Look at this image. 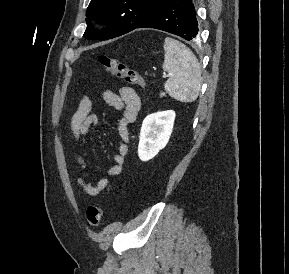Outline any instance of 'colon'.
Returning a JSON list of instances; mask_svg holds the SVG:
<instances>
[{
  "label": "colon",
  "mask_w": 289,
  "mask_h": 274,
  "mask_svg": "<svg viewBox=\"0 0 289 274\" xmlns=\"http://www.w3.org/2000/svg\"><path fill=\"white\" fill-rule=\"evenodd\" d=\"M98 63L111 75L116 76L126 82L144 88L146 83L140 73L130 68L118 59L110 58L106 55L98 57ZM103 210L100 206L91 205L87 208L86 218L90 226L96 227L100 224Z\"/></svg>",
  "instance_id": "obj_1"
}]
</instances>
